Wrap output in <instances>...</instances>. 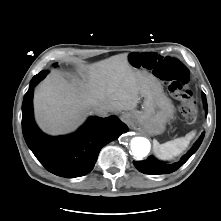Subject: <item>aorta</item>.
<instances>
[{"instance_id": "762f6f07", "label": "aorta", "mask_w": 221, "mask_h": 221, "mask_svg": "<svg viewBox=\"0 0 221 221\" xmlns=\"http://www.w3.org/2000/svg\"><path fill=\"white\" fill-rule=\"evenodd\" d=\"M131 151L137 158L146 157L150 152V142L143 137H134L131 140Z\"/></svg>"}]
</instances>
